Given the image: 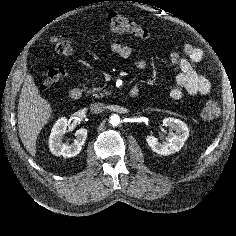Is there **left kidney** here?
<instances>
[{"label":"left kidney","mask_w":236,"mask_h":236,"mask_svg":"<svg viewBox=\"0 0 236 236\" xmlns=\"http://www.w3.org/2000/svg\"><path fill=\"white\" fill-rule=\"evenodd\" d=\"M163 126L176 131L168 136L167 143L163 144L158 142V139L153 135H147L146 142L151 147L152 151L159 155L167 156L178 152L183 147L189 136V129L183 121L170 117L163 119Z\"/></svg>","instance_id":"left-kidney-1"}]
</instances>
